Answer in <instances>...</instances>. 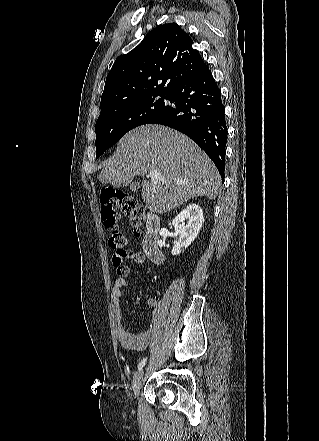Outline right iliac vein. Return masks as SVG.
<instances>
[{
	"label": "right iliac vein",
	"mask_w": 319,
	"mask_h": 441,
	"mask_svg": "<svg viewBox=\"0 0 319 441\" xmlns=\"http://www.w3.org/2000/svg\"><path fill=\"white\" fill-rule=\"evenodd\" d=\"M143 376H144L143 370H140L134 376L132 388H133V393L135 396H137L140 392V388H141L142 382H143Z\"/></svg>",
	"instance_id": "63e3f726"
}]
</instances>
